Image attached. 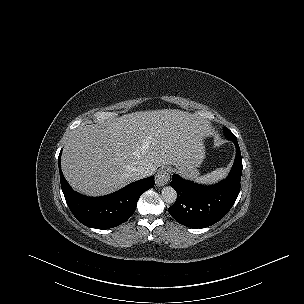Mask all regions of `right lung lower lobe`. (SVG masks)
<instances>
[{
  "mask_svg": "<svg viewBox=\"0 0 304 304\" xmlns=\"http://www.w3.org/2000/svg\"><path fill=\"white\" fill-rule=\"evenodd\" d=\"M61 152L58 158L61 188L73 215L85 226L96 229L116 227L135 212L139 197L154 186V177L133 182L102 197H86L71 189L61 171Z\"/></svg>",
  "mask_w": 304,
  "mask_h": 304,
  "instance_id": "98d812e1",
  "label": "right lung lower lobe"
}]
</instances>
